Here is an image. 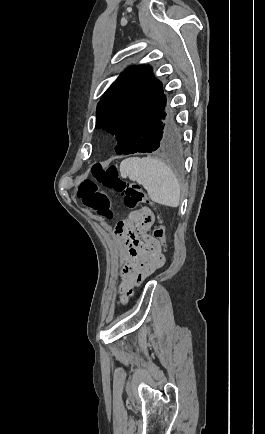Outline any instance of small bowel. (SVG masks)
Segmentation results:
<instances>
[{"instance_id": "obj_1", "label": "small bowel", "mask_w": 265, "mask_h": 434, "mask_svg": "<svg viewBox=\"0 0 265 434\" xmlns=\"http://www.w3.org/2000/svg\"><path fill=\"white\" fill-rule=\"evenodd\" d=\"M154 221L151 209L133 210L122 221L125 227L133 229V233L116 234L121 239L124 251V263L120 269L123 278L119 287L123 294L121 305L131 295L134 286L165 264L162 245L150 234Z\"/></svg>"}]
</instances>
